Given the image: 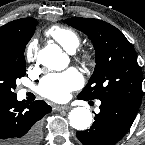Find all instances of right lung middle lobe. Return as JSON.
Returning <instances> with one entry per match:
<instances>
[{
	"instance_id": "obj_1",
	"label": "right lung middle lobe",
	"mask_w": 145,
	"mask_h": 145,
	"mask_svg": "<svg viewBox=\"0 0 145 145\" xmlns=\"http://www.w3.org/2000/svg\"><path fill=\"white\" fill-rule=\"evenodd\" d=\"M34 31L35 29L21 39L0 44V94H15L16 79L26 73L24 50Z\"/></svg>"
}]
</instances>
